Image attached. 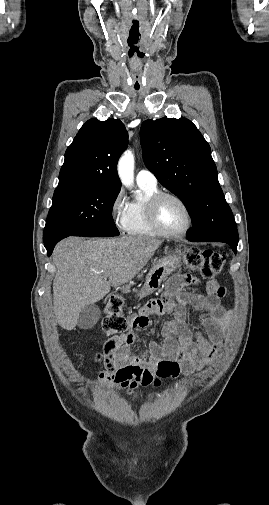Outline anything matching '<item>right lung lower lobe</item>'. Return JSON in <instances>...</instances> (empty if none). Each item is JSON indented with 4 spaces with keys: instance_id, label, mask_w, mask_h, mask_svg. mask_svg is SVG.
<instances>
[{
    "instance_id": "right-lung-lower-lobe-1",
    "label": "right lung lower lobe",
    "mask_w": 269,
    "mask_h": 505,
    "mask_svg": "<svg viewBox=\"0 0 269 505\" xmlns=\"http://www.w3.org/2000/svg\"><path fill=\"white\" fill-rule=\"evenodd\" d=\"M65 238V236H62V237H59V238H56V239H53L52 241L50 242H47L44 244V246L46 247L47 249V252H48V256L51 255L52 251H53V248L54 246L56 245L57 242H59L61 239Z\"/></svg>"
}]
</instances>
